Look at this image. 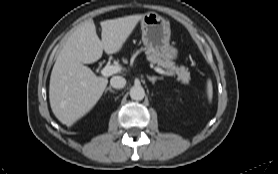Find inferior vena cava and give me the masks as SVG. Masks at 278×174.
I'll return each mask as SVG.
<instances>
[{"instance_id":"obj_1","label":"inferior vena cava","mask_w":278,"mask_h":174,"mask_svg":"<svg viewBox=\"0 0 278 174\" xmlns=\"http://www.w3.org/2000/svg\"><path fill=\"white\" fill-rule=\"evenodd\" d=\"M110 84L113 88L121 89L125 86L126 80L121 76H114L111 78Z\"/></svg>"}]
</instances>
